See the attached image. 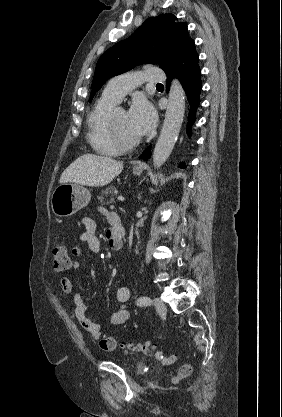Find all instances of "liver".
I'll return each instance as SVG.
<instances>
[{
	"mask_svg": "<svg viewBox=\"0 0 282 417\" xmlns=\"http://www.w3.org/2000/svg\"><path fill=\"white\" fill-rule=\"evenodd\" d=\"M123 170V162L111 156L82 154L71 162L60 176L59 182H76L85 186H105Z\"/></svg>",
	"mask_w": 282,
	"mask_h": 417,
	"instance_id": "1",
	"label": "liver"
}]
</instances>
